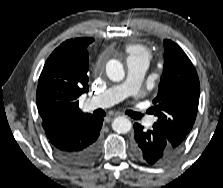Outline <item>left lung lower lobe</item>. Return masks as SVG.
<instances>
[{
  "mask_svg": "<svg viewBox=\"0 0 223 188\" xmlns=\"http://www.w3.org/2000/svg\"><path fill=\"white\" fill-rule=\"evenodd\" d=\"M135 141L133 152L137 158L146 164H160L171 160L178 149L168 141L163 131L153 125L151 130H143V127L135 123Z\"/></svg>",
  "mask_w": 223,
  "mask_h": 188,
  "instance_id": "obj_1",
  "label": "left lung lower lobe"
}]
</instances>
